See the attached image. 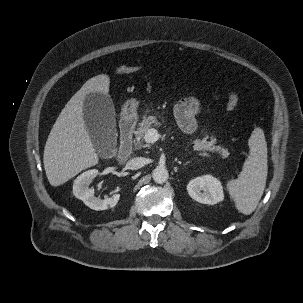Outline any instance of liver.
<instances>
[{"label": "liver", "mask_w": 303, "mask_h": 303, "mask_svg": "<svg viewBox=\"0 0 303 303\" xmlns=\"http://www.w3.org/2000/svg\"><path fill=\"white\" fill-rule=\"evenodd\" d=\"M109 85L106 74L89 79L62 109L44 148V168L52 186H60L98 163L83 117L84 99L91 93L108 95Z\"/></svg>", "instance_id": "6515ba94"}]
</instances>
